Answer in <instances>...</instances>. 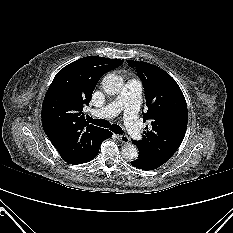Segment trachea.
<instances>
[{"label":"trachea","instance_id":"trachea-1","mask_svg":"<svg viewBox=\"0 0 233 233\" xmlns=\"http://www.w3.org/2000/svg\"><path fill=\"white\" fill-rule=\"evenodd\" d=\"M87 120L89 123H92L94 125L104 127V128H110L114 133L121 135L123 133V130L120 126L117 124H110L107 120L104 119H92L91 117H87Z\"/></svg>","mask_w":233,"mask_h":233}]
</instances>
